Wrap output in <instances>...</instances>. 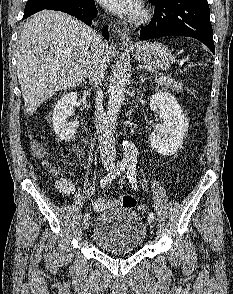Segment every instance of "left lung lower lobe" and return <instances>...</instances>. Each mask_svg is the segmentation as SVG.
<instances>
[{
	"instance_id": "1",
	"label": "left lung lower lobe",
	"mask_w": 233,
	"mask_h": 294,
	"mask_svg": "<svg viewBox=\"0 0 233 294\" xmlns=\"http://www.w3.org/2000/svg\"><path fill=\"white\" fill-rule=\"evenodd\" d=\"M151 22L141 28L140 40L163 36H188L203 42L213 53L215 46L207 0H155Z\"/></svg>"
}]
</instances>
